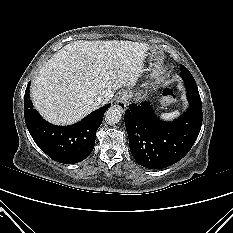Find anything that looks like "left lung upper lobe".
I'll use <instances>...</instances> for the list:
<instances>
[{"instance_id": "1", "label": "left lung upper lobe", "mask_w": 233, "mask_h": 233, "mask_svg": "<svg viewBox=\"0 0 233 233\" xmlns=\"http://www.w3.org/2000/svg\"><path fill=\"white\" fill-rule=\"evenodd\" d=\"M180 68H181V76H182V79L185 83H195V80L192 76V74L189 72V70L183 66V65H180Z\"/></svg>"}]
</instances>
